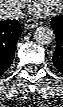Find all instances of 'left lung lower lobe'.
<instances>
[{"mask_svg": "<svg viewBox=\"0 0 63 107\" xmlns=\"http://www.w3.org/2000/svg\"><path fill=\"white\" fill-rule=\"evenodd\" d=\"M51 27L56 37V50L53 56V63L63 73V15L52 19Z\"/></svg>", "mask_w": 63, "mask_h": 107, "instance_id": "1", "label": "left lung lower lobe"}]
</instances>
